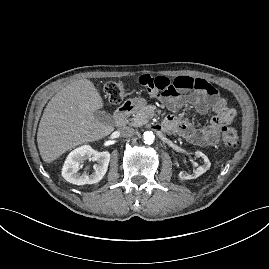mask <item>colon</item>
Instances as JSON below:
<instances>
[{"label":"colon","instance_id":"5ec220e1","mask_svg":"<svg viewBox=\"0 0 269 269\" xmlns=\"http://www.w3.org/2000/svg\"><path fill=\"white\" fill-rule=\"evenodd\" d=\"M126 92V86L120 82H109L105 86L107 98L114 103L121 101ZM221 140L225 147L236 148L239 144V134L234 128L223 126L221 129Z\"/></svg>","mask_w":269,"mask_h":269}]
</instances>
